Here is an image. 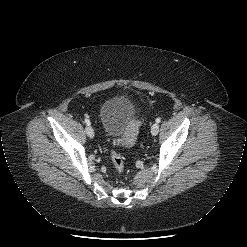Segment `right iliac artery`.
<instances>
[{"instance_id": "right-iliac-artery-1", "label": "right iliac artery", "mask_w": 247, "mask_h": 247, "mask_svg": "<svg viewBox=\"0 0 247 247\" xmlns=\"http://www.w3.org/2000/svg\"><path fill=\"white\" fill-rule=\"evenodd\" d=\"M85 123L89 126L90 125V121H89V119H85Z\"/></svg>"}]
</instances>
